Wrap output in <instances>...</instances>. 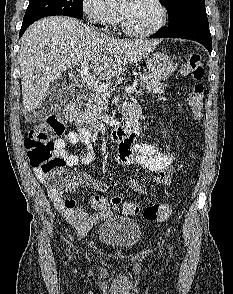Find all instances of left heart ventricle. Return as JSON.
I'll use <instances>...</instances> for the list:
<instances>
[{
  "label": "left heart ventricle",
  "mask_w": 233,
  "mask_h": 294,
  "mask_svg": "<svg viewBox=\"0 0 233 294\" xmlns=\"http://www.w3.org/2000/svg\"><path fill=\"white\" fill-rule=\"evenodd\" d=\"M118 9L136 30H148L160 19V11L152 0H123Z\"/></svg>",
  "instance_id": "1"
}]
</instances>
